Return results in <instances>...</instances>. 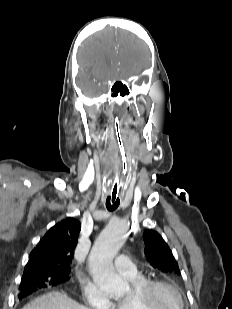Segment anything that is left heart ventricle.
<instances>
[{"label": "left heart ventricle", "mask_w": 232, "mask_h": 309, "mask_svg": "<svg viewBox=\"0 0 232 309\" xmlns=\"http://www.w3.org/2000/svg\"><path fill=\"white\" fill-rule=\"evenodd\" d=\"M156 300L160 309H180L181 303L178 295L169 288H159L156 293Z\"/></svg>", "instance_id": "left-heart-ventricle-1"}]
</instances>
